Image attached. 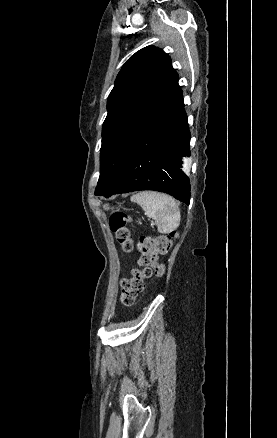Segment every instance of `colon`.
<instances>
[{
  "label": "colon",
  "mask_w": 277,
  "mask_h": 438,
  "mask_svg": "<svg viewBox=\"0 0 277 438\" xmlns=\"http://www.w3.org/2000/svg\"><path fill=\"white\" fill-rule=\"evenodd\" d=\"M130 218L123 212L113 214L109 225L117 241L126 251L134 250L140 256V268L133 269L131 275L121 280V302L132 305L135 298L143 292L144 281L153 271L162 275L165 267L158 263V255L165 253L173 245L175 235L160 236L139 235L132 240L127 224Z\"/></svg>",
  "instance_id": "obj_1"
}]
</instances>
